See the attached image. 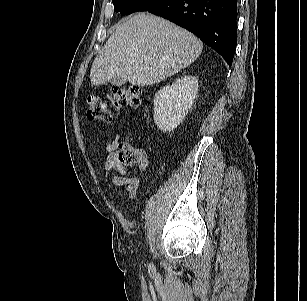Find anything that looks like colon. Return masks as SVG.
I'll use <instances>...</instances> for the list:
<instances>
[{"label": "colon", "mask_w": 307, "mask_h": 301, "mask_svg": "<svg viewBox=\"0 0 307 301\" xmlns=\"http://www.w3.org/2000/svg\"><path fill=\"white\" fill-rule=\"evenodd\" d=\"M141 89L139 88H115L107 96L114 109L123 107L137 108L141 104ZM87 115L99 122H110L112 119V110L108 103L101 97L90 95L87 99ZM119 158L127 165L139 164L141 153L126 144L119 145Z\"/></svg>", "instance_id": "obj_1"}]
</instances>
